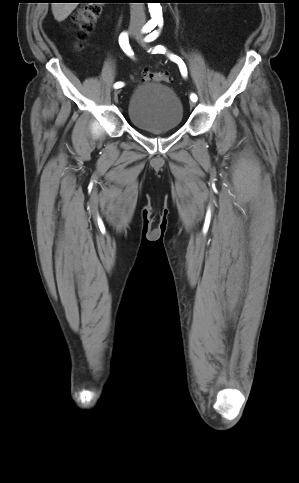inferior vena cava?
Wrapping results in <instances>:
<instances>
[{
    "mask_svg": "<svg viewBox=\"0 0 299 483\" xmlns=\"http://www.w3.org/2000/svg\"><path fill=\"white\" fill-rule=\"evenodd\" d=\"M130 14V27L140 30L146 22L144 3H130Z\"/></svg>",
    "mask_w": 299,
    "mask_h": 483,
    "instance_id": "inferior-vena-cava-1",
    "label": "inferior vena cava"
}]
</instances>
